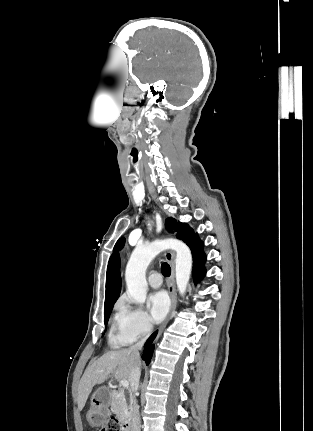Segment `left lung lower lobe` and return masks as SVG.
Segmentation results:
<instances>
[{"label": "left lung lower lobe", "instance_id": "1", "mask_svg": "<svg viewBox=\"0 0 313 431\" xmlns=\"http://www.w3.org/2000/svg\"><path fill=\"white\" fill-rule=\"evenodd\" d=\"M191 249L193 257V278L194 282L197 283L205 275V254L203 252V242L196 236L188 244Z\"/></svg>", "mask_w": 313, "mask_h": 431}]
</instances>
